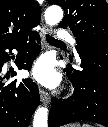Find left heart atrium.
Instances as JSON below:
<instances>
[{
  "instance_id": "left-heart-atrium-1",
  "label": "left heart atrium",
  "mask_w": 108,
  "mask_h": 127,
  "mask_svg": "<svg viewBox=\"0 0 108 127\" xmlns=\"http://www.w3.org/2000/svg\"><path fill=\"white\" fill-rule=\"evenodd\" d=\"M32 77L45 86H55L59 82V74L54 68L52 59L49 57L40 58L32 68Z\"/></svg>"
}]
</instances>
